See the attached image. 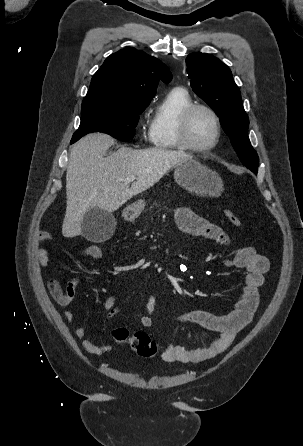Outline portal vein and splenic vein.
<instances>
[{
  "instance_id": "18ae733b",
  "label": "portal vein and splenic vein",
  "mask_w": 303,
  "mask_h": 446,
  "mask_svg": "<svg viewBox=\"0 0 303 446\" xmlns=\"http://www.w3.org/2000/svg\"><path fill=\"white\" fill-rule=\"evenodd\" d=\"M135 179H136L135 176H128V177L125 179V181H127V182H131V181H134Z\"/></svg>"
}]
</instances>
